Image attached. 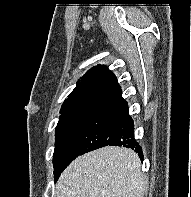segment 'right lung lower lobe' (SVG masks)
<instances>
[{
  "label": "right lung lower lobe",
  "mask_w": 191,
  "mask_h": 197,
  "mask_svg": "<svg viewBox=\"0 0 191 197\" xmlns=\"http://www.w3.org/2000/svg\"><path fill=\"white\" fill-rule=\"evenodd\" d=\"M124 146L143 153L134 138V123L129 116L128 104L122 98L121 88L97 103L83 122L62 171L79 155L103 146Z\"/></svg>",
  "instance_id": "1"
}]
</instances>
